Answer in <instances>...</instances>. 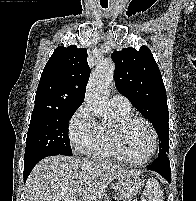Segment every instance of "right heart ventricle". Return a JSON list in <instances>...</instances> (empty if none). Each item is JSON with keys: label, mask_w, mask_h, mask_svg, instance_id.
I'll use <instances>...</instances> for the list:
<instances>
[{"label": "right heart ventricle", "mask_w": 196, "mask_h": 201, "mask_svg": "<svg viewBox=\"0 0 196 201\" xmlns=\"http://www.w3.org/2000/svg\"><path fill=\"white\" fill-rule=\"evenodd\" d=\"M116 122L113 124H99V138L90 154L93 158L105 161L127 162L118 149L115 140V125L121 120L130 116V110L124 111L115 109Z\"/></svg>", "instance_id": "obj_1"}]
</instances>
